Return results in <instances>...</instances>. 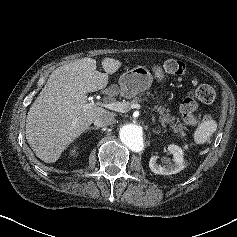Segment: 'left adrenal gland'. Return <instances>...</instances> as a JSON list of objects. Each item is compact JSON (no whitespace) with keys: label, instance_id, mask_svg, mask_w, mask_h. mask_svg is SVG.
I'll return each mask as SVG.
<instances>
[{"label":"left adrenal gland","instance_id":"a2214340","mask_svg":"<svg viewBox=\"0 0 237 237\" xmlns=\"http://www.w3.org/2000/svg\"><path fill=\"white\" fill-rule=\"evenodd\" d=\"M153 133H155V134H159L160 131H159V130H157V131L154 130Z\"/></svg>","mask_w":237,"mask_h":237}]
</instances>
